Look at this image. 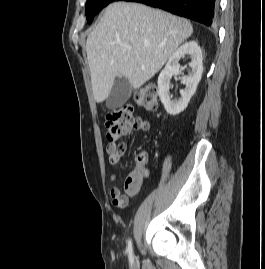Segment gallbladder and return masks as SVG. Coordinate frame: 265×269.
<instances>
[{"label":"gallbladder","mask_w":265,"mask_h":269,"mask_svg":"<svg viewBox=\"0 0 265 269\" xmlns=\"http://www.w3.org/2000/svg\"><path fill=\"white\" fill-rule=\"evenodd\" d=\"M132 93V86L129 80L125 77L118 78L106 100V106L108 109L120 108L130 98Z\"/></svg>","instance_id":"gallbladder-1"}]
</instances>
